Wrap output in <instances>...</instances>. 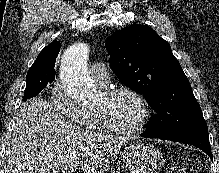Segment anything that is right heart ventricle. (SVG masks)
Here are the masks:
<instances>
[{
	"mask_svg": "<svg viewBox=\"0 0 219 173\" xmlns=\"http://www.w3.org/2000/svg\"><path fill=\"white\" fill-rule=\"evenodd\" d=\"M87 128L92 130H102L103 127L98 119L96 112L91 111L87 113V123L85 125Z\"/></svg>",
	"mask_w": 219,
	"mask_h": 173,
	"instance_id": "obj_1",
	"label": "right heart ventricle"
}]
</instances>
